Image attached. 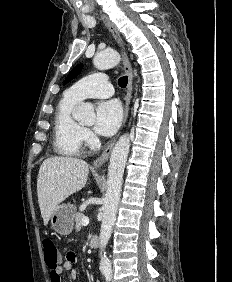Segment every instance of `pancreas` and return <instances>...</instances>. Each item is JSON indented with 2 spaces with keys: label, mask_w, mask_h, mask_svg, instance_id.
Returning a JSON list of instances; mask_svg holds the SVG:
<instances>
[{
  "label": "pancreas",
  "mask_w": 232,
  "mask_h": 282,
  "mask_svg": "<svg viewBox=\"0 0 232 282\" xmlns=\"http://www.w3.org/2000/svg\"><path fill=\"white\" fill-rule=\"evenodd\" d=\"M83 217H85V215L83 213H77L75 215V229H76L77 232L80 231L81 228H82V222L81 221H82Z\"/></svg>",
  "instance_id": "obj_1"
}]
</instances>
